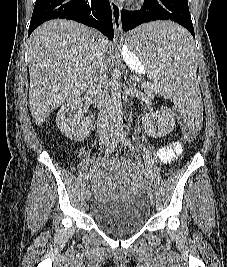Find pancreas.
<instances>
[{"label": "pancreas", "instance_id": "obj_1", "mask_svg": "<svg viewBox=\"0 0 227 267\" xmlns=\"http://www.w3.org/2000/svg\"><path fill=\"white\" fill-rule=\"evenodd\" d=\"M143 87L146 88L147 92H151L152 90H154L157 86H149V84L143 83Z\"/></svg>", "mask_w": 227, "mask_h": 267}]
</instances>
